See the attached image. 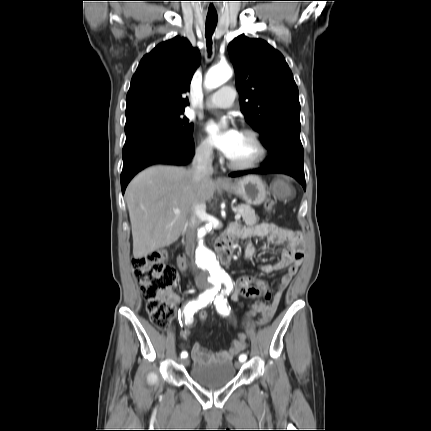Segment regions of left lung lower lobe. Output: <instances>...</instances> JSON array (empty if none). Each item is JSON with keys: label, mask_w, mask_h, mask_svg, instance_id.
<instances>
[{"label": "left lung lower lobe", "mask_w": 431, "mask_h": 431, "mask_svg": "<svg viewBox=\"0 0 431 431\" xmlns=\"http://www.w3.org/2000/svg\"><path fill=\"white\" fill-rule=\"evenodd\" d=\"M304 150L303 147L281 145L270 153L269 158L263 163L265 166L255 170L238 171L231 173V177H238L246 174H268L282 173L294 177L306 189V182L303 168Z\"/></svg>", "instance_id": "1"}]
</instances>
